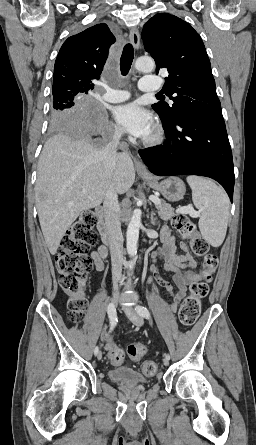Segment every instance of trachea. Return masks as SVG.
I'll list each match as a JSON object with an SVG mask.
<instances>
[{
  "label": "trachea",
  "mask_w": 256,
  "mask_h": 445,
  "mask_svg": "<svg viewBox=\"0 0 256 445\" xmlns=\"http://www.w3.org/2000/svg\"><path fill=\"white\" fill-rule=\"evenodd\" d=\"M134 59V49L131 44H126L120 58V70L123 76H126L131 68ZM157 97H162L157 94Z\"/></svg>",
  "instance_id": "trachea-1"
}]
</instances>
